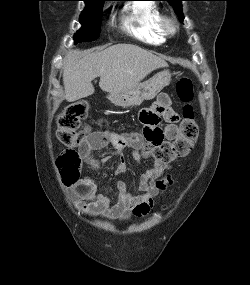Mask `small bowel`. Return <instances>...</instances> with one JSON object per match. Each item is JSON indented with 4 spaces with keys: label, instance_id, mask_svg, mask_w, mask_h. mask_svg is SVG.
<instances>
[{
    "label": "small bowel",
    "instance_id": "obj_1",
    "mask_svg": "<svg viewBox=\"0 0 250 285\" xmlns=\"http://www.w3.org/2000/svg\"><path fill=\"white\" fill-rule=\"evenodd\" d=\"M162 115L168 122L164 129L159 126ZM139 117L144 125L141 132L118 134L103 131L91 133L81 143L80 155L94 167L101 168L108 163L109 157H104L97 162L91 159V154L110 143L119 155V162L114 168V173L121 174L127 169L123 154L126 148H133L135 150L133 156L135 160L139 161L137 150L144 141L152 144V147H161V144H166V141L173 140L178 136L179 131L175 125L178 117L174 111L168 108V99L165 96H161L152 107L143 109ZM169 169V163L155 160L152 166L140 175L138 187L140 194L138 195L130 193L124 182H118L116 186L118 195L113 200L107 195L98 193L97 186L91 178H84L69 185L68 191L77 200L78 209L86 215L100 216L111 220H124L131 215L142 217L149 214L159 192L171 184L170 177L164 176Z\"/></svg>",
    "mask_w": 250,
    "mask_h": 285
}]
</instances>
